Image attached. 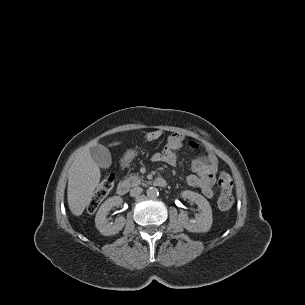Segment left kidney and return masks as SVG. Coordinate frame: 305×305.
I'll return each instance as SVG.
<instances>
[{"label": "left kidney", "mask_w": 305, "mask_h": 305, "mask_svg": "<svg viewBox=\"0 0 305 305\" xmlns=\"http://www.w3.org/2000/svg\"><path fill=\"white\" fill-rule=\"evenodd\" d=\"M182 198L194 202L200 209V213L195 219H189L185 212L178 215V221L189 232L204 233L208 232L212 226V209L207 199L196 192L185 190L181 192Z\"/></svg>", "instance_id": "5707ae66"}]
</instances>
